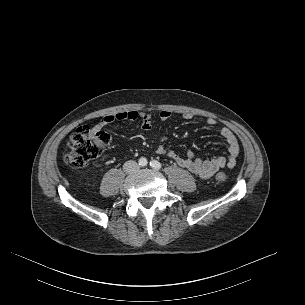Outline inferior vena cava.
I'll return each instance as SVG.
<instances>
[{"instance_id":"obj_1","label":"inferior vena cava","mask_w":305,"mask_h":305,"mask_svg":"<svg viewBox=\"0 0 305 305\" xmlns=\"http://www.w3.org/2000/svg\"><path fill=\"white\" fill-rule=\"evenodd\" d=\"M123 169L127 173H133L139 169V165L135 161H127L124 163Z\"/></svg>"}]
</instances>
